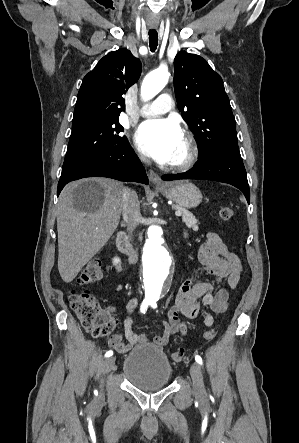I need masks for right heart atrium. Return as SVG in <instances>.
I'll list each match as a JSON object with an SVG mask.
<instances>
[{
	"instance_id": "1",
	"label": "right heart atrium",
	"mask_w": 299,
	"mask_h": 443,
	"mask_svg": "<svg viewBox=\"0 0 299 443\" xmlns=\"http://www.w3.org/2000/svg\"><path fill=\"white\" fill-rule=\"evenodd\" d=\"M139 159L145 161V157L142 154H139Z\"/></svg>"
}]
</instances>
